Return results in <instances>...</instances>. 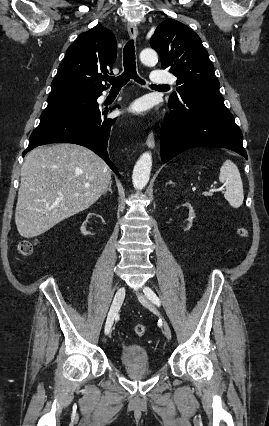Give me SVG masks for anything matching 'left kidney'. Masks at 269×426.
<instances>
[{"mask_svg":"<svg viewBox=\"0 0 269 426\" xmlns=\"http://www.w3.org/2000/svg\"><path fill=\"white\" fill-rule=\"evenodd\" d=\"M182 206L186 207L189 210V217L187 219V221H189V224L184 228V230H189L190 227L192 226V221L196 215L190 203L186 202Z\"/></svg>","mask_w":269,"mask_h":426,"instance_id":"left-kidney-1","label":"left kidney"}]
</instances>
